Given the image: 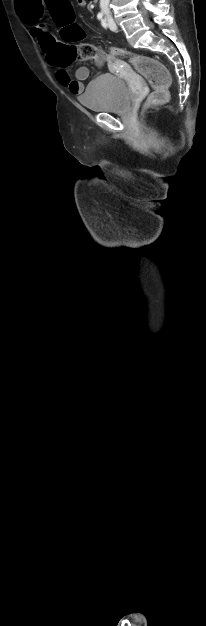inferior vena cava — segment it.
I'll use <instances>...</instances> for the list:
<instances>
[{"instance_id": "602c4592", "label": "inferior vena cava", "mask_w": 206, "mask_h": 626, "mask_svg": "<svg viewBox=\"0 0 206 626\" xmlns=\"http://www.w3.org/2000/svg\"><path fill=\"white\" fill-rule=\"evenodd\" d=\"M109 2H110V0H100V8H101V11H102L105 15H107V16H109V13H110V12H109Z\"/></svg>"}]
</instances>
